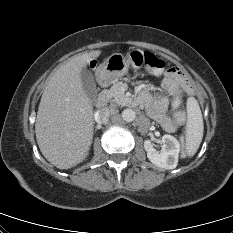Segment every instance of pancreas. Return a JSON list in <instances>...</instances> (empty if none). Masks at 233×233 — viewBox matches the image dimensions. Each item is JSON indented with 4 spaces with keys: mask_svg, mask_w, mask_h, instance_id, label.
I'll use <instances>...</instances> for the list:
<instances>
[{
    "mask_svg": "<svg viewBox=\"0 0 233 233\" xmlns=\"http://www.w3.org/2000/svg\"><path fill=\"white\" fill-rule=\"evenodd\" d=\"M105 93L109 98H113L112 101L121 106H128L131 103V99L126 97L121 89V83L117 82L112 85Z\"/></svg>",
    "mask_w": 233,
    "mask_h": 233,
    "instance_id": "cf45deb5",
    "label": "pancreas"
}]
</instances>
